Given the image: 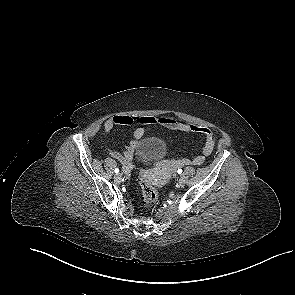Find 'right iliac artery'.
<instances>
[{
    "instance_id": "obj_1",
    "label": "right iliac artery",
    "mask_w": 295,
    "mask_h": 295,
    "mask_svg": "<svg viewBox=\"0 0 295 295\" xmlns=\"http://www.w3.org/2000/svg\"><path fill=\"white\" fill-rule=\"evenodd\" d=\"M114 171H115L116 174L119 173V169L118 168H116Z\"/></svg>"
}]
</instances>
